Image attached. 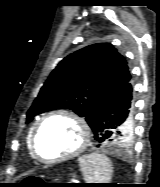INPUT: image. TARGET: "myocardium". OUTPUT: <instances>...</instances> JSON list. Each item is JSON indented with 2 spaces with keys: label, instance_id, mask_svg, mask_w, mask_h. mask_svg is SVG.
<instances>
[{
  "label": "myocardium",
  "instance_id": "f54148a6",
  "mask_svg": "<svg viewBox=\"0 0 160 187\" xmlns=\"http://www.w3.org/2000/svg\"><path fill=\"white\" fill-rule=\"evenodd\" d=\"M54 116H66V117L71 118L73 121H75L81 131V141H80V144L70 153L56 157V158H52V159H45L39 154L37 150L36 139H37L38 132L41 126L43 125V123L49 118L54 117ZM90 138H91L90 125L88 124L87 120L82 115L72 110H65V109L55 110L42 116L33 126L31 139H30L31 152L33 156L41 163L55 164V163H59V162L74 158L78 156L79 154H81L87 148Z\"/></svg>",
  "mask_w": 160,
  "mask_h": 187
}]
</instances>
